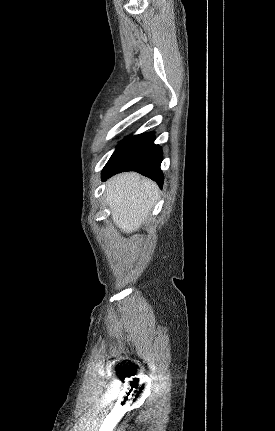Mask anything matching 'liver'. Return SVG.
Listing matches in <instances>:
<instances>
[{
    "mask_svg": "<svg viewBox=\"0 0 275 431\" xmlns=\"http://www.w3.org/2000/svg\"><path fill=\"white\" fill-rule=\"evenodd\" d=\"M158 186L138 173L126 172L107 182L106 202L115 225L124 233L136 231L158 200Z\"/></svg>",
    "mask_w": 275,
    "mask_h": 431,
    "instance_id": "6515ba94",
    "label": "liver"
}]
</instances>
